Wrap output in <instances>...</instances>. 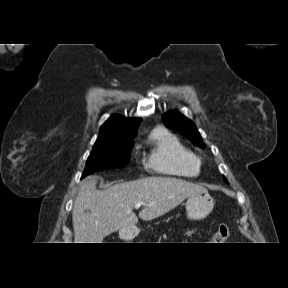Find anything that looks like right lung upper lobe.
Instances as JSON below:
<instances>
[{"label":"right lung upper lobe","instance_id":"cb5924a9","mask_svg":"<svg viewBox=\"0 0 288 288\" xmlns=\"http://www.w3.org/2000/svg\"><path fill=\"white\" fill-rule=\"evenodd\" d=\"M140 121L141 119L139 118H125L120 115H112L100 128L97 141L117 136L132 139Z\"/></svg>","mask_w":288,"mask_h":288}]
</instances>
